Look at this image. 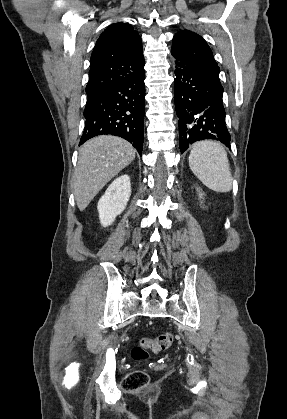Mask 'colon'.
<instances>
[{"mask_svg": "<svg viewBox=\"0 0 287 419\" xmlns=\"http://www.w3.org/2000/svg\"><path fill=\"white\" fill-rule=\"evenodd\" d=\"M173 342V336L170 333H163L154 338H142L132 349L131 356L134 360L142 361L149 357L150 353H159L168 349ZM149 376L143 370L133 371L125 376L122 381L124 390H136L147 386Z\"/></svg>", "mask_w": 287, "mask_h": 419, "instance_id": "5ec220e1", "label": "colon"}]
</instances>
